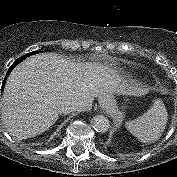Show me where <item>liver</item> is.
I'll return each mask as SVG.
<instances>
[{"mask_svg":"<svg viewBox=\"0 0 177 177\" xmlns=\"http://www.w3.org/2000/svg\"><path fill=\"white\" fill-rule=\"evenodd\" d=\"M132 91L113 69L99 63H76L56 53L30 56L17 65L7 79L2 119L18 140L39 135L52 126L65 100L92 106L94 98Z\"/></svg>","mask_w":177,"mask_h":177,"instance_id":"1","label":"liver"}]
</instances>
